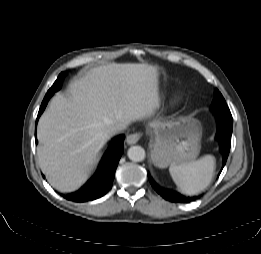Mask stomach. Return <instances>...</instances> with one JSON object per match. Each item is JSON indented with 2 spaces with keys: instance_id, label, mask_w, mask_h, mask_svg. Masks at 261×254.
Segmentation results:
<instances>
[{
  "instance_id": "0dacf381",
  "label": "stomach",
  "mask_w": 261,
  "mask_h": 254,
  "mask_svg": "<svg viewBox=\"0 0 261 254\" xmlns=\"http://www.w3.org/2000/svg\"><path fill=\"white\" fill-rule=\"evenodd\" d=\"M152 135V161L160 168L188 163L200 151L201 125L194 118L155 125Z\"/></svg>"
}]
</instances>
